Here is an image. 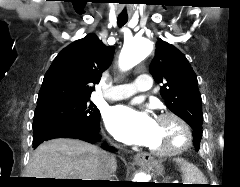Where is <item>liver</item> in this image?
<instances>
[{
  "mask_svg": "<svg viewBox=\"0 0 240 187\" xmlns=\"http://www.w3.org/2000/svg\"><path fill=\"white\" fill-rule=\"evenodd\" d=\"M104 152L86 142L59 138L42 143L32 154L26 169L28 178L100 180ZM116 170V160L109 165Z\"/></svg>",
  "mask_w": 240,
  "mask_h": 187,
  "instance_id": "1",
  "label": "liver"
}]
</instances>
